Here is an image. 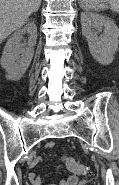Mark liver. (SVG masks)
I'll list each match as a JSON object with an SVG mask.
<instances>
[{
	"instance_id": "1",
	"label": "liver",
	"mask_w": 119,
	"mask_h": 185,
	"mask_svg": "<svg viewBox=\"0 0 119 185\" xmlns=\"http://www.w3.org/2000/svg\"><path fill=\"white\" fill-rule=\"evenodd\" d=\"M41 0H0V44L38 11Z\"/></svg>"
}]
</instances>
